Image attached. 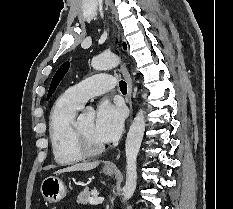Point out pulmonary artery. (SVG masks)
Returning <instances> with one entry per match:
<instances>
[{
	"label": "pulmonary artery",
	"instance_id": "e3ab8cb5",
	"mask_svg": "<svg viewBox=\"0 0 233 209\" xmlns=\"http://www.w3.org/2000/svg\"><path fill=\"white\" fill-rule=\"evenodd\" d=\"M115 79L112 76L99 74L86 78L72 86L66 92L67 97L81 107L89 98L112 90Z\"/></svg>",
	"mask_w": 233,
	"mask_h": 209
}]
</instances>
